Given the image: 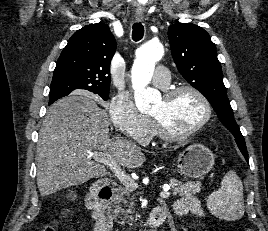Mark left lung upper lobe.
Segmentation results:
<instances>
[{"label":"left lung upper lobe","mask_w":268,"mask_h":231,"mask_svg":"<svg viewBox=\"0 0 268 231\" xmlns=\"http://www.w3.org/2000/svg\"><path fill=\"white\" fill-rule=\"evenodd\" d=\"M168 37L180 74L208 99L219 120L235 137L240 151H247L227 98L221 64L209 34L195 24L176 23L169 27Z\"/></svg>","instance_id":"1"}]
</instances>
